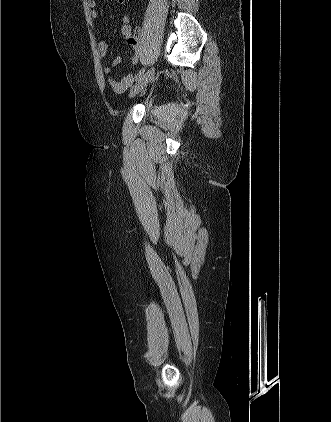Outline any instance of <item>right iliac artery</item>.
Returning a JSON list of instances; mask_svg holds the SVG:
<instances>
[{
    "mask_svg": "<svg viewBox=\"0 0 331 422\" xmlns=\"http://www.w3.org/2000/svg\"><path fill=\"white\" fill-rule=\"evenodd\" d=\"M144 72H145V68H142V69L139 71V73L136 75V81H139V80L141 79V77H142V75L144 74Z\"/></svg>",
    "mask_w": 331,
    "mask_h": 422,
    "instance_id": "82829eb1",
    "label": "right iliac artery"
}]
</instances>
